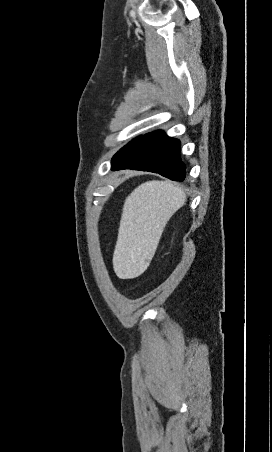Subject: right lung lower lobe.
Segmentation results:
<instances>
[{
	"label": "right lung lower lobe",
	"instance_id": "98d812e1",
	"mask_svg": "<svg viewBox=\"0 0 272 452\" xmlns=\"http://www.w3.org/2000/svg\"><path fill=\"white\" fill-rule=\"evenodd\" d=\"M111 169L149 171L174 181H183L186 176V165L180 158V141L162 131L142 136Z\"/></svg>",
	"mask_w": 272,
	"mask_h": 452
}]
</instances>
